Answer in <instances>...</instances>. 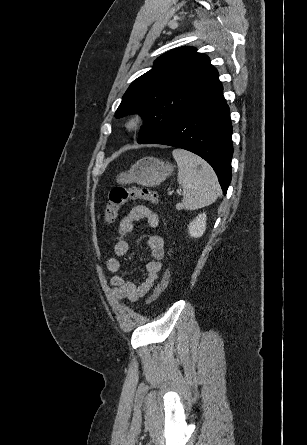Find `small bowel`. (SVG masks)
<instances>
[{
	"label": "small bowel",
	"mask_w": 307,
	"mask_h": 445,
	"mask_svg": "<svg viewBox=\"0 0 307 445\" xmlns=\"http://www.w3.org/2000/svg\"><path fill=\"white\" fill-rule=\"evenodd\" d=\"M142 219H147L153 228L159 225L158 215L151 209L144 205L133 207L118 223L113 247L115 257L106 262L107 269L113 273L111 277L112 294L120 301L135 302L146 295L159 279L162 270V261L165 255L164 239L158 234H149L146 242L150 249L151 259L146 264L145 278L139 285H136L123 274L124 264L120 258L129 251L127 235L132 231L134 222Z\"/></svg>",
	"instance_id": "1"
}]
</instances>
